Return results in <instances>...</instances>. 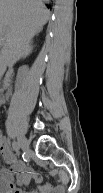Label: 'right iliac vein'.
I'll list each match as a JSON object with an SVG mask.
<instances>
[{
    "instance_id": "1",
    "label": "right iliac vein",
    "mask_w": 103,
    "mask_h": 193,
    "mask_svg": "<svg viewBox=\"0 0 103 193\" xmlns=\"http://www.w3.org/2000/svg\"><path fill=\"white\" fill-rule=\"evenodd\" d=\"M18 141H19L21 149L24 151V153L28 152L29 144H28L27 140L24 137H19Z\"/></svg>"
}]
</instances>
